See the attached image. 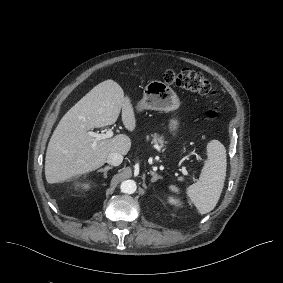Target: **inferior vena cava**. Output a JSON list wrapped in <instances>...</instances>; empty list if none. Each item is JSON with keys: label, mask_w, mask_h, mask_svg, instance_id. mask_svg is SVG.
Segmentation results:
<instances>
[{"label": "inferior vena cava", "mask_w": 283, "mask_h": 283, "mask_svg": "<svg viewBox=\"0 0 283 283\" xmlns=\"http://www.w3.org/2000/svg\"><path fill=\"white\" fill-rule=\"evenodd\" d=\"M123 161V156L118 153H110L107 156V163L112 166H119Z\"/></svg>", "instance_id": "inferior-vena-cava-1"}]
</instances>
